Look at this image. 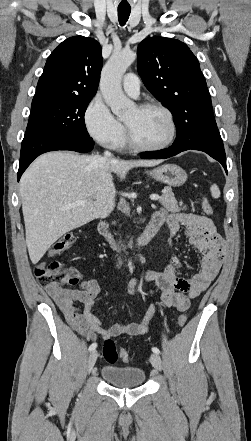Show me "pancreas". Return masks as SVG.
<instances>
[{
    "mask_svg": "<svg viewBox=\"0 0 251 441\" xmlns=\"http://www.w3.org/2000/svg\"><path fill=\"white\" fill-rule=\"evenodd\" d=\"M160 203L169 212L176 213L181 210H187L186 206H183L182 202H177L170 187H165L163 194L160 197Z\"/></svg>",
    "mask_w": 251,
    "mask_h": 441,
    "instance_id": "cf45deb5",
    "label": "pancreas"
}]
</instances>
